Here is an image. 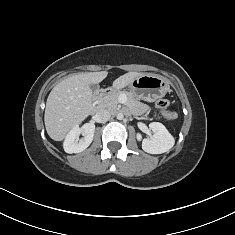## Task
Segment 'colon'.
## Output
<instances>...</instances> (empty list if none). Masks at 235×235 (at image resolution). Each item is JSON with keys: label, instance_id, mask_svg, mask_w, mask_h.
<instances>
[{"label": "colon", "instance_id": "colon-1", "mask_svg": "<svg viewBox=\"0 0 235 235\" xmlns=\"http://www.w3.org/2000/svg\"><path fill=\"white\" fill-rule=\"evenodd\" d=\"M156 108L158 111L164 115L169 120H176L177 115L171 112L170 109V101L167 99H161L156 103Z\"/></svg>", "mask_w": 235, "mask_h": 235}]
</instances>
